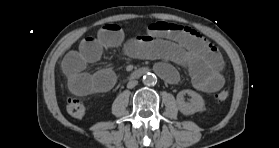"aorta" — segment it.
<instances>
[{"instance_id":"762f6f07","label":"aorta","mask_w":279,"mask_h":148,"mask_svg":"<svg viewBox=\"0 0 279 148\" xmlns=\"http://www.w3.org/2000/svg\"><path fill=\"white\" fill-rule=\"evenodd\" d=\"M142 82L145 84V85H154L156 84L157 82V78L154 74L152 73H147L143 76V79H142Z\"/></svg>"}]
</instances>
